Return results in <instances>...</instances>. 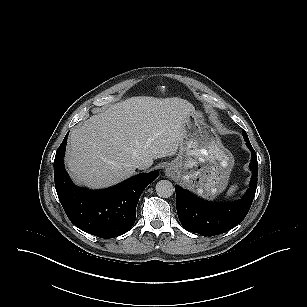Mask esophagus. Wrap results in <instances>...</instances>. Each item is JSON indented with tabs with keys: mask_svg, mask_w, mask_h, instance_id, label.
<instances>
[{
	"mask_svg": "<svg viewBox=\"0 0 307 307\" xmlns=\"http://www.w3.org/2000/svg\"><path fill=\"white\" fill-rule=\"evenodd\" d=\"M165 172H166V174L172 173V171L169 168H166Z\"/></svg>",
	"mask_w": 307,
	"mask_h": 307,
	"instance_id": "esophagus-1",
	"label": "esophagus"
}]
</instances>
